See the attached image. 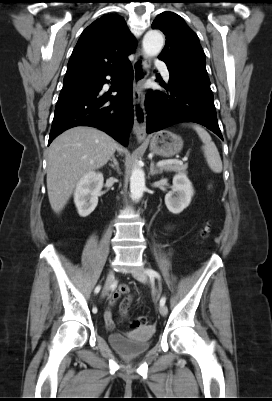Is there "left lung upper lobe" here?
<instances>
[{
    "label": "left lung upper lobe",
    "instance_id": "5c2ea615",
    "mask_svg": "<svg viewBox=\"0 0 272 401\" xmlns=\"http://www.w3.org/2000/svg\"><path fill=\"white\" fill-rule=\"evenodd\" d=\"M166 35V44L159 59L171 70L209 81L206 59L198 36L182 17L173 12H163L152 23Z\"/></svg>",
    "mask_w": 272,
    "mask_h": 401
}]
</instances>
